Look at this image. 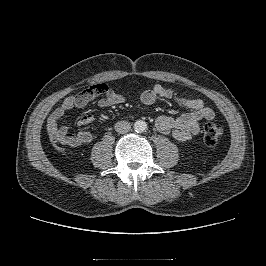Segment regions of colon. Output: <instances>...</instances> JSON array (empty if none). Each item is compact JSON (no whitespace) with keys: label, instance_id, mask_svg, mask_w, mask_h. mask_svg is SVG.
Listing matches in <instances>:
<instances>
[{"label":"colon","instance_id":"1","mask_svg":"<svg viewBox=\"0 0 266 266\" xmlns=\"http://www.w3.org/2000/svg\"><path fill=\"white\" fill-rule=\"evenodd\" d=\"M105 92H106V86L104 84H96L85 90V93L89 97L93 98L102 95ZM222 134L223 130L219 125L212 122L206 123L203 126L202 143L206 146H214L219 142V140L222 137Z\"/></svg>","mask_w":266,"mask_h":266}]
</instances>
